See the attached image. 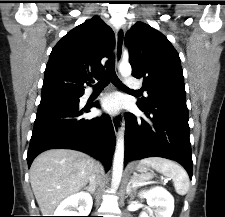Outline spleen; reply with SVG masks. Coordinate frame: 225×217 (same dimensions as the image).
Masks as SVG:
<instances>
[{"label":"spleen","instance_id":"obj_1","mask_svg":"<svg viewBox=\"0 0 225 217\" xmlns=\"http://www.w3.org/2000/svg\"><path fill=\"white\" fill-rule=\"evenodd\" d=\"M140 163L151 166L157 172L171 178L179 195H185L188 192L190 186L188 174L176 162L161 157H150L141 160Z\"/></svg>","mask_w":225,"mask_h":217}]
</instances>
